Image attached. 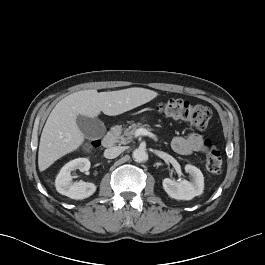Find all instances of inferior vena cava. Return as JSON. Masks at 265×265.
I'll return each mask as SVG.
<instances>
[{
    "label": "inferior vena cava",
    "instance_id": "602c4592",
    "mask_svg": "<svg viewBox=\"0 0 265 265\" xmlns=\"http://www.w3.org/2000/svg\"><path fill=\"white\" fill-rule=\"evenodd\" d=\"M122 151H123L122 147L119 146L110 147L104 151V157L107 159H113L119 156L122 153Z\"/></svg>",
    "mask_w": 265,
    "mask_h": 265
}]
</instances>
